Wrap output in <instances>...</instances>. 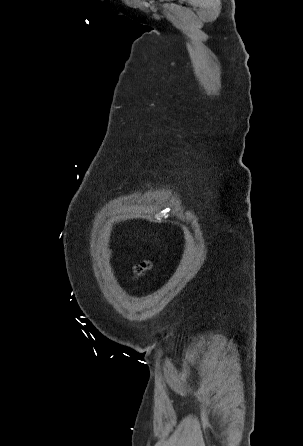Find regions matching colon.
I'll list each match as a JSON object with an SVG mask.
<instances>
[{"label":"colon","mask_w":303,"mask_h":446,"mask_svg":"<svg viewBox=\"0 0 303 446\" xmlns=\"http://www.w3.org/2000/svg\"><path fill=\"white\" fill-rule=\"evenodd\" d=\"M151 267V263L149 261H143L140 264H137L134 268V273L136 276L143 275L147 270Z\"/></svg>","instance_id":"1"}]
</instances>
